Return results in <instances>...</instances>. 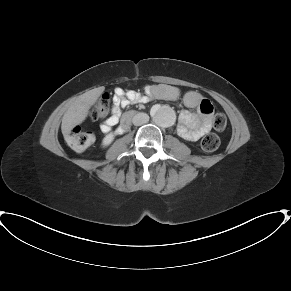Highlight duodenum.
I'll list each match as a JSON object with an SVG mask.
<instances>
[{
    "mask_svg": "<svg viewBox=\"0 0 291 291\" xmlns=\"http://www.w3.org/2000/svg\"><path fill=\"white\" fill-rule=\"evenodd\" d=\"M137 113L135 111H128L123 115L122 118V123L120 126V129L122 131H126L128 129L129 126V122L130 120L136 115Z\"/></svg>",
    "mask_w": 291,
    "mask_h": 291,
    "instance_id": "410a0bca",
    "label": "duodenum"
}]
</instances>
